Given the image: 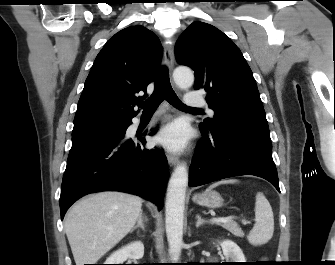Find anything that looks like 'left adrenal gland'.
Instances as JSON below:
<instances>
[{"label": "left adrenal gland", "mask_w": 335, "mask_h": 265, "mask_svg": "<svg viewBox=\"0 0 335 265\" xmlns=\"http://www.w3.org/2000/svg\"><path fill=\"white\" fill-rule=\"evenodd\" d=\"M196 219H197V222H196V227L197 228L204 223H212L211 221H207V220L201 218V216L199 214L196 215Z\"/></svg>", "instance_id": "a2214340"}]
</instances>
